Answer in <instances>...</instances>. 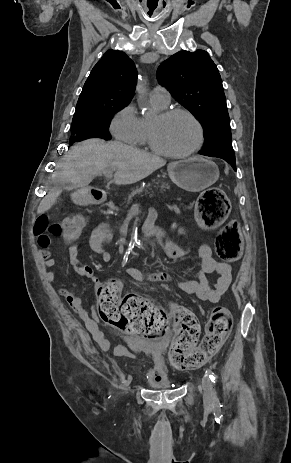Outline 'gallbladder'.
<instances>
[{
	"instance_id": "gallbladder-1",
	"label": "gallbladder",
	"mask_w": 291,
	"mask_h": 463,
	"mask_svg": "<svg viewBox=\"0 0 291 463\" xmlns=\"http://www.w3.org/2000/svg\"><path fill=\"white\" fill-rule=\"evenodd\" d=\"M65 187H66V189H68V190H72V189L74 188V186H73L72 184H70V183H67V184L65 185Z\"/></svg>"
}]
</instances>
